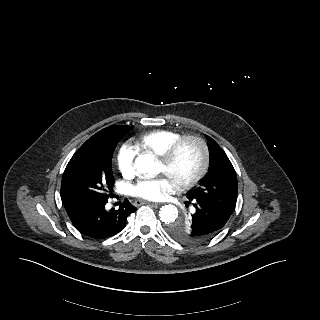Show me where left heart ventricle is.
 <instances>
[{"instance_id": "left-heart-ventricle-1", "label": "left heart ventricle", "mask_w": 320, "mask_h": 320, "mask_svg": "<svg viewBox=\"0 0 320 320\" xmlns=\"http://www.w3.org/2000/svg\"><path fill=\"white\" fill-rule=\"evenodd\" d=\"M200 165V151L194 142L185 143L174 163L170 167H166L163 163L160 165V171L168 176L174 184L183 181L192 176Z\"/></svg>"}]
</instances>
